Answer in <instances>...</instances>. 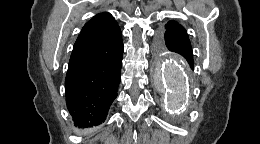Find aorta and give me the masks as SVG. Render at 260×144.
Instances as JSON below:
<instances>
[{"label":"aorta","instance_id":"762f6f07","mask_svg":"<svg viewBox=\"0 0 260 144\" xmlns=\"http://www.w3.org/2000/svg\"><path fill=\"white\" fill-rule=\"evenodd\" d=\"M184 68L176 57H167L156 66L158 86L166 91V103L172 110L180 108L189 93Z\"/></svg>","mask_w":260,"mask_h":144}]
</instances>
